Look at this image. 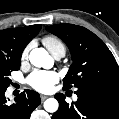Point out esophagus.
<instances>
[{"instance_id":"obj_1","label":"esophagus","mask_w":119,"mask_h":119,"mask_svg":"<svg viewBox=\"0 0 119 119\" xmlns=\"http://www.w3.org/2000/svg\"><path fill=\"white\" fill-rule=\"evenodd\" d=\"M40 97H41V100H42V101H44L45 99L48 98V96H46V95H41Z\"/></svg>"}]
</instances>
